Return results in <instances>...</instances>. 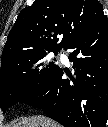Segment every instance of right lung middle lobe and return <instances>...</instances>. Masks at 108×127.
<instances>
[{"label":"right lung middle lobe","mask_w":108,"mask_h":127,"mask_svg":"<svg viewBox=\"0 0 108 127\" xmlns=\"http://www.w3.org/2000/svg\"><path fill=\"white\" fill-rule=\"evenodd\" d=\"M47 55L48 51L20 56L1 66L0 107L3 112L39 89L59 68Z\"/></svg>","instance_id":"obj_1"}]
</instances>
